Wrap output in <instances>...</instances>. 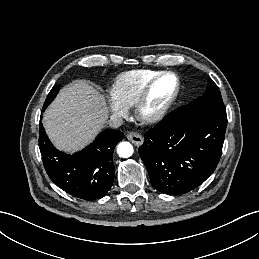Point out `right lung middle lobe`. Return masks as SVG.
<instances>
[{
    "label": "right lung middle lobe",
    "instance_id": "1",
    "mask_svg": "<svg viewBox=\"0 0 259 259\" xmlns=\"http://www.w3.org/2000/svg\"><path fill=\"white\" fill-rule=\"evenodd\" d=\"M59 86H54L49 95L47 96L45 102H44V106H43V111L47 108V106L54 100V98L56 97V95L58 94L59 92Z\"/></svg>",
    "mask_w": 259,
    "mask_h": 259
}]
</instances>
